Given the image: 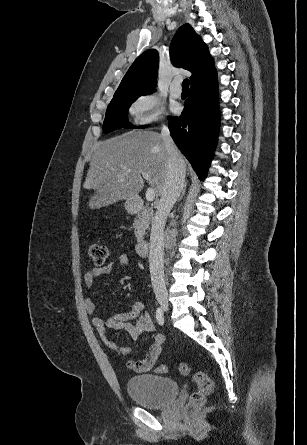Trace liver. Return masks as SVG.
Returning a JSON list of instances; mask_svg holds the SVG:
<instances>
[{"mask_svg": "<svg viewBox=\"0 0 307 445\" xmlns=\"http://www.w3.org/2000/svg\"><path fill=\"white\" fill-rule=\"evenodd\" d=\"M166 160L164 140L152 130H130L96 142L83 184L94 190L88 200L89 208H102L138 194L144 186L141 172L150 174L149 184L160 196Z\"/></svg>", "mask_w": 307, "mask_h": 445, "instance_id": "obj_1", "label": "liver"}]
</instances>
